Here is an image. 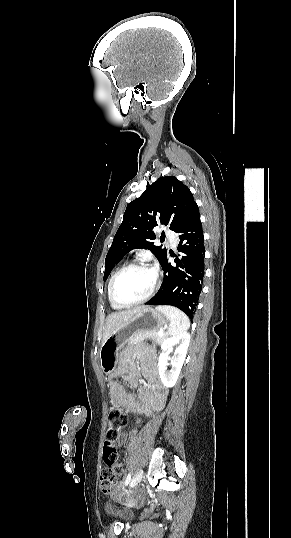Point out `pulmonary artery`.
<instances>
[{
  "mask_svg": "<svg viewBox=\"0 0 291 538\" xmlns=\"http://www.w3.org/2000/svg\"><path fill=\"white\" fill-rule=\"evenodd\" d=\"M165 235H166V238H167L169 244L171 246L175 247V245L177 243V235L172 231H166Z\"/></svg>",
  "mask_w": 291,
  "mask_h": 538,
  "instance_id": "e3ab8cb5",
  "label": "pulmonary artery"
}]
</instances>
